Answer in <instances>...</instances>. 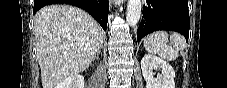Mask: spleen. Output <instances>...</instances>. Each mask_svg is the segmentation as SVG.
Segmentation results:
<instances>
[{"mask_svg":"<svg viewBox=\"0 0 227 88\" xmlns=\"http://www.w3.org/2000/svg\"><path fill=\"white\" fill-rule=\"evenodd\" d=\"M186 42L183 36L178 33L168 35L165 31H156L144 39V47L151 54H159L167 61L175 60L179 51L184 49Z\"/></svg>","mask_w":227,"mask_h":88,"instance_id":"3e777b00","label":"spleen"}]
</instances>
